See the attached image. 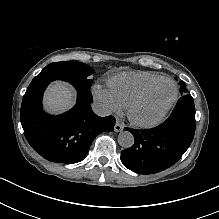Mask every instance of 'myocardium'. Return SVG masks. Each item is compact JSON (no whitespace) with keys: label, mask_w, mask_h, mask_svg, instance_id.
Returning <instances> with one entry per match:
<instances>
[{"label":"myocardium","mask_w":219,"mask_h":219,"mask_svg":"<svg viewBox=\"0 0 219 219\" xmlns=\"http://www.w3.org/2000/svg\"><path fill=\"white\" fill-rule=\"evenodd\" d=\"M170 82L174 87V93L171 99L156 113L155 116L151 118H141L139 117L136 112L138 108L145 102V100L149 97L151 92L161 83V82ZM178 95V88L176 83L169 79V78H160L154 83H152L150 86H148L145 90H143L138 96L134 98V100L130 103L127 110V115L129 120L137 126L141 127H152L156 124H158L166 115V113L169 111V109L172 107L174 102L177 99Z\"/></svg>","instance_id":"obj_1"}]
</instances>
